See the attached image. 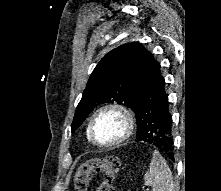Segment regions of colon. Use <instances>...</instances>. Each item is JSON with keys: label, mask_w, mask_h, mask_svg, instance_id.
I'll use <instances>...</instances> for the list:
<instances>
[{"label": "colon", "mask_w": 221, "mask_h": 191, "mask_svg": "<svg viewBox=\"0 0 221 191\" xmlns=\"http://www.w3.org/2000/svg\"><path fill=\"white\" fill-rule=\"evenodd\" d=\"M120 167V160L115 156H101L85 161L76 171L75 191H86L95 174H101L104 177L97 191H116L114 179L119 173Z\"/></svg>", "instance_id": "1"}]
</instances>
